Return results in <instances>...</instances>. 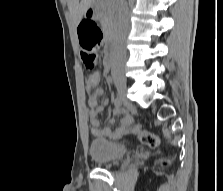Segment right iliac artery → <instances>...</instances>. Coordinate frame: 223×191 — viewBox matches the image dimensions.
<instances>
[{"label": "right iliac artery", "instance_id": "1", "mask_svg": "<svg viewBox=\"0 0 223 191\" xmlns=\"http://www.w3.org/2000/svg\"><path fill=\"white\" fill-rule=\"evenodd\" d=\"M115 104H117V105H119V106L122 105V99H121L119 96L116 97V99H115Z\"/></svg>", "mask_w": 223, "mask_h": 191}]
</instances>
